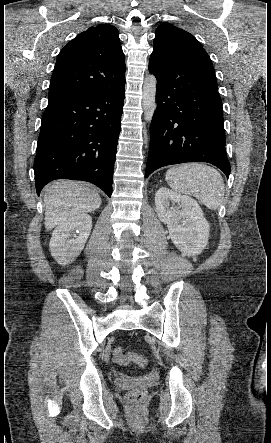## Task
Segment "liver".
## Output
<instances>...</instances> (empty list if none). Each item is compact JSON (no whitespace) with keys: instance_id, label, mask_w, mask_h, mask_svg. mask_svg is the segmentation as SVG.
Listing matches in <instances>:
<instances>
[{"instance_id":"6515ba94","label":"liver","mask_w":271,"mask_h":443,"mask_svg":"<svg viewBox=\"0 0 271 443\" xmlns=\"http://www.w3.org/2000/svg\"><path fill=\"white\" fill-rule=\"evenodd\" d=\"M46 229H52L66 218H73L83 212H94L100 208L99 194L83 186L82 182H53L44 196Z\"/></svg>"}]
</instances>
